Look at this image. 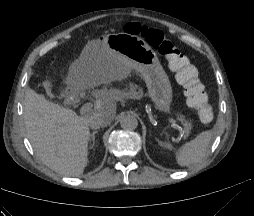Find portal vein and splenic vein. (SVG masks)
I'll use <instances>...</instances> for the list:
<instances>
[{
    "mask_svg": "<svg viewBox=\"0 0 254 216\" xmlns=\"http://www.w3.org/2000/svg\"><path fill=\"white\" fill-rule=\"evenodd\" d=\"M93 105L91 103H86L80 108V115H84L85 113L89 112L92 110ZM168 121L178 130H182L181 126L179 123L173 119V118H168Z\"/></svg>",
    "mask_w": 254,
    "mask_h": 216,
    "instance_id": "portal-vein-and-splenic-vein-1",
    "label": "portal vein and splenic vein"
}]
</instances>
